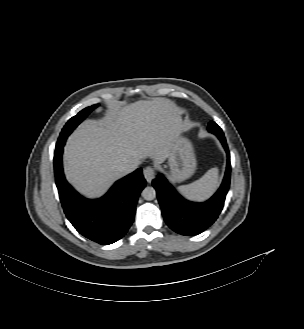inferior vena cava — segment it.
<instances>
[{
  "instance_id": "obj_1",
  "label": "inferior vena cava",
  "mask_w": 304,
  "mask_h": 329,
  "mask_svg": "<svg viewBox=\"0 0 304 329\" xmlns=\"http://www.w3.org/2000/svg\"><path fill=\"white\" fill-rule=\"evenodd\" d=\"M135 168H136V163L135 162H124L121 165H119V170L122 173L131 172Z\"/></svg>"
}]
</instances>
